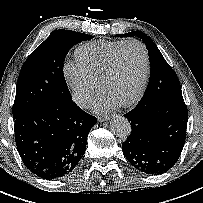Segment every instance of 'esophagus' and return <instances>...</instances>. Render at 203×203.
I'll return each mask as SVG.
<instances>
[{
  "label": "esophagus",
  "mask_w": 203,
  "mask_h": 203,
  "mask_svg": "<svg viewBox=\"0 0 203 203\" xmlns=\"http://www.w3.org/2000/svg\"><path fill=\"white\" fill-rule=\"evenodd\" d=\"M97 119H98L99 122H104V121L109 120L110 117L107 116V115H104V116H99Z\"/></svg>",
  "instance_id": "obj_1"
}]
</instances>
